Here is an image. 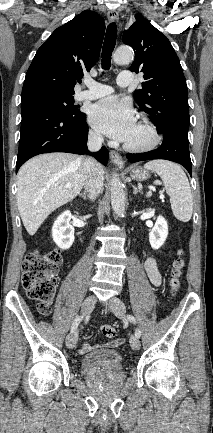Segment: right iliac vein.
Returning a JSON list of instances; mask_svg holds the SVG:
<instances>
[{
  "instance_id": "63e3f726",
  "label": "right iliac vein",
  "mask_w": 213,
  "mask_h": 433,
  "mask_svg": "<svg viewBox=\"0 0 213 433\" xmlns=\"http://www.w3.org/2000/svg\"><path fill=\"white\" fill-rule=\"evenodd\" d=\"M96 303V298L94 296H88L84 302L82 303V307H81V312L83 315H87L89 314ZM77 332H71L70 334L67 335L66 337V345L69 349H72L75 347L76 343H77Z\"/></svg>"
}]
</instances>
